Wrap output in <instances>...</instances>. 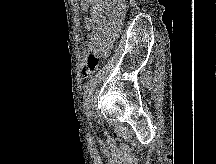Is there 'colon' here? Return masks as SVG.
Here are the masks:
<instances>
[{
	"label": "colon",
	"mask_w": 216,
	"mask_h": 164,
	"mask_svg": "<svg viewBox=\"0 0 216 164\" xmlns=\"http://www.w3.org/2000/svg\"><path fill=\"white\" fill-rule=\"evenodd\" d=\"M98 65H99V57L94 53H90L83 60V64H82L83 74L85 76L92 74L93 72L96 71Z\"/></svg>",
	"instance_id": "1"
}]
</instances>
